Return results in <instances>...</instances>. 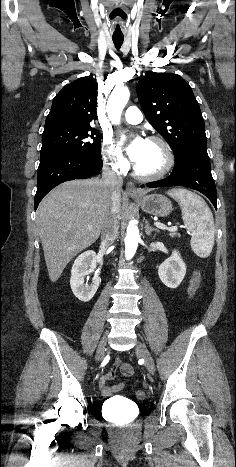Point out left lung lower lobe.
I'll return each instance as SVG.
<instances>
[{"label": "left lung lower lobe", "instance_id": "0a47b994", "mask_svg": "<svg viewBox=\"0 0 236 467\" xmlns=\"http://www.w3.org/2000/svg\"><path fill=\"white\" fill-rule=\"evenodd\" d=\"M146 186L150 188L188 187L203 193L217 208L216 186L211 174L206 145H196L188 148L179 159L175 160L173 172L169 177L147 183Z\"/></svg>", "mask_w": 236, "mask_h": 467}]
</instances>
